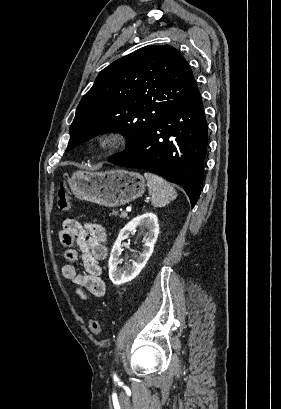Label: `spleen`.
<instances>
[{
	"mask_svg": "<svg viewBox=\"0 0 281 409\" xmlns=\"http://www.w3.org/2000/svg\"><path fill=\"white\" fill-rule=\"evenodd\" d=\"M144 176L147 180L153 207H165L176 198L177 192L167 180L157 176V174H152V172H144Z\"/></svg>",
	"mask_w": 281,
	"mask_h": 409,
	"instance_id": "1",
	"label": "spleen"
}]
</instances>
